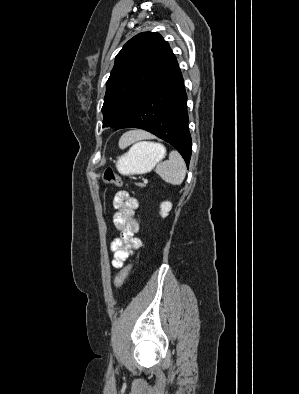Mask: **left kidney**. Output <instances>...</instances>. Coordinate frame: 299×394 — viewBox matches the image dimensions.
Masks as SVG:
<instances>
[{
  "mask_svg": "<svg viewBox=\"0 0 299 394\" xmlns=\"http://www.w3.org/2000/svg\"><path fill=\"white\" fill-rule=\"evenodd\" d=\"M172 209V203L169 201H165L163 203H161L160 205V214L163 218H165L166 216H168V213L170 212V210Z\"/></svg>",
  "mask_w": 299,
  "mask_h": 394,
  "instance_id": "1",
  "label": "left kidney"
}]
</instances>
